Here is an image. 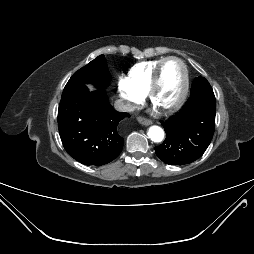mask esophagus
<instances>
[{
	"label": "esophagus",
	"mask_w": 254,
	"mask_h": 254,
	"mask_svg": "<svg viewBox=\"0 0 254 254\" xmlns=\"http://www.w3.org/2000/svg\"><path fill=\"white\" fill-rule=\"evenodd\" d=\"M137 120L140 124L145 125V126L152 124V122L149 119L141 117V116L137 117Z\"/></svg>",
	"instance_id": "1"
}]
</instances>
